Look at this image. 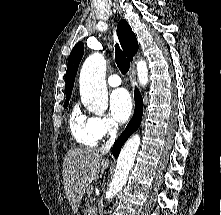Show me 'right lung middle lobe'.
I'll list each match as a JSON object with an SVG mask.
<instances>
[{"mask_svg": "<svg viewBox=\"0 0 221 215\" xmlns=\"http://www.w3.org/2000/svg\"><path fill=\"white\" fill-rule=\"evenodd\" d=\"M68 103H69V99H66L64 102L65 108L68 106Z\"/></svg>", "mask_w": 221, "mask_h": 215, "instance_id": "right-lung-middle-lobe-1", "label": "right lung middle lobe"}]
</instances>
